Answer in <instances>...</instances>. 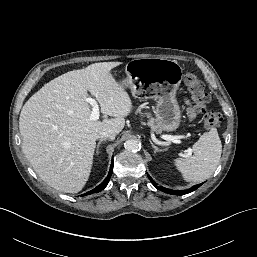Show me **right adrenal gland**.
<instances>
[{"label": "right adrenal gland", "instance_id": "2a0ac1e0", "mask_svg": "<svg viewBox=\"0 0 257 257\" xmlns=\"http://www.w3.org/2000/svg\"><path fill=\"white\" fill-rule=\"evenodd\" d=\"M103 141H105V139H101L98 144H97V148H96V154H99V147L100 145L103 143Z\"/></svg>", "mask_w": 257, "mask_h": 257}]
</instances>
